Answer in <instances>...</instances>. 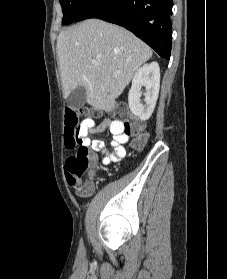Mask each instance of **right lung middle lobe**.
Returning a JSON list of instances; mask_svg holds the SVG:
<instances>
[{
	"label": "right lung middle lobe",
	"instance_id": "1",
	"mask_svg": "<svg viewBox=\"0 0 227 279\" xmlns=\"http://www.w3.org/2000/svg\"><path fill=\"white\" fill-rule=\"evenodd\" d=\"M63 12V24H69L74 21L81 8L88 0H59Z\"/></svg>",
	"mask_w": 227,
	"mask_h": 279
}]
</instances>
